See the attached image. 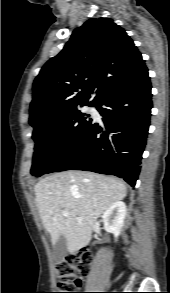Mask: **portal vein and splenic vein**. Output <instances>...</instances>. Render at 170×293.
I'll return each mask as SVG.
<instances>
[{
	"label": "portal vein and splenic vein",
	"mask_w": 170,
	"mask_h": 293,
	"mask_svg": "<svg viewBox=\"0 0 170 293\" xmlns=\"http://www.w3.org/2000/svg\"><path fill=\"white\" fill-rule=\"evenodd\" d=\"M62 214H63L65 217H67V216L69 215L68 211H66V210H64V211L62 212Z\"/></svg>",
	"instance_id": "portal-vein-and-splenic-vein-1"
}]
</instances>
